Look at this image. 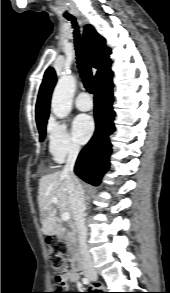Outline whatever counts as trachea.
<instances>
[{"mask_svg": "<svg viewBox=\"0 0 170 293\" xmlns=\"http://www.w3.org/2000/svg\"><path fill=\"white\" fill-rule=\"evenodd\" d=\"M72 22V25L74 27V37H75V47H76V53H77V63L79 68V73L82 78L84 87L86 90L93 94L94 91V81H93V75L92 70L89 65L88 60L86 59L83 48L81 46L80 41V33H79V27L77 24V21L75 18L68 19Z\"/></svg>", "mask_w": 170, "mask_h": 293, "instance_id": "obj_1", "label": "trachea"}]
</instances>
